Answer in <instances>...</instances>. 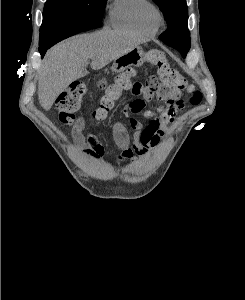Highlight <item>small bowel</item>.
I'll return each instance as SVG.
<instances>
[{
    "label": "small bowel",
    "mask_w": 245,
    "mask_h": 300,
    "mask_svg": "<svg viewBox=\"0 0 245 300\" xmlns=\"http://www.w3.org/2000/svg\"><path fill=\"white\" fill-rule=\"evenodd\" d=\"M130 90L135 96L142 97L140 100L144 102V107L145 102H149L153 97V92L149 87L138 82L133 83ZM159 98L163 105L155 111H143L144 107L135 111L130 103L125 106L123 113L128 119L129 128L120 122L113 124V138L115 144L121 150L120 162H136L138 159L148 156L150 150L158 147L167 132L168 126L183 108L181 100L172 101L162 93L159 94ZM138 113H142L145 119H151V121L144 125L142 120L136 118L135 115ZM84 129L85 123L82 119H79L72 128L74 141L85 147L90 154L96 157L102 156L104 152L102 144L94 135L85 136L83 134Z\"/></svg>",
    "instance_id": "small-bowel-1"
}]
</instances>
